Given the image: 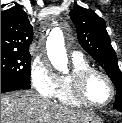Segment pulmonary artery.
Wrapping results in <instances>:
<instances>
[{"label": "pulmonary artery", "mask_w": 122, "mask_h": 123, "mask_svg": "<svg viewBox=\"0 0 122 123\" xmlns=\"http://www.w3.org/2000/svg\"><path fill=\"white\" fill-rule=\"evenodd\" d=\"M71 56L72 58H79V57H82L83 54L80 51L75 50V51H72Z\"/></svg>", "instance_id": "pulmonary-artery-1"}]
</instances>
